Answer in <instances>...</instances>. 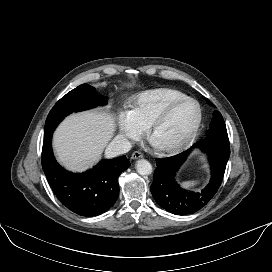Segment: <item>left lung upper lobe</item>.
I'll return each instance as SVG.
<instances>
[{"label": "left lung upper lobe", "instance_id": "left-lung-upper-lobe-1", "mask_svg": "<svg viewBox=\"0 0 272 272\" xmlns=\"http://www.w3.org/2000/svg\"><path fill=\"white\" fill-rule=\"evenodd\" d=\"M202 141L215 142L229 147V139L226 130V125L220 112L214 111L213 120L206 133V138L203 139Z\"/></svg>", "mask_w": 272, "mask_h": 272}]
</instances>
